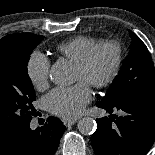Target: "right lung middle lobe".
Returning a JSON list of instances; mask_svg holds the SVG:
<instances>
[{
  "mask_svg": "<svg viewBox=\"0 0 155 155\" xmlns=\"http://www.w3.org/2000/svg\"><path fill=\"white\" fill-rule=\"evenodd\" d=\"M44 36L10 34L0 39V133L28 125L36 95L27 73L32 50Z\"/></svg>",
  "mask_w": 155,
  "mask_h": 155,
  "instance_id": "1",
  "label": "right lung middle lobe"
}]
</instances>
